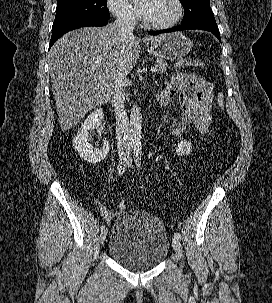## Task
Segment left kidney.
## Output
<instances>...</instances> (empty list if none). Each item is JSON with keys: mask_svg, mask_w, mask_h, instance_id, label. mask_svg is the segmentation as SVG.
<instances>
[{"mask_svg": "<svg viewBox=\"0 0 272 303\" xmlns=\"http://www.w3.org/2000/svg\"><path fill=\"white\" fill-rule=\"evenodd\" d=\"M192 150L191 143L184 140L180 141L176 147V153L180 156L188 155Z\"/></svg>", "mask_w": 272, "mask_h": 303, "instance_id": "obj_1", "label": "left kidney"}]
</instances>
